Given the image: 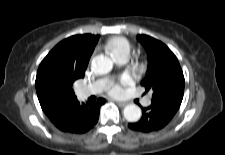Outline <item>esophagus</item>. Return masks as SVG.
I'll return each mask as SVG.
<instances>
[{"mask_svg": "<svg viewBox=\"0 0 225 155\" xmlns=\"http://www.w3.org/2000/svg\"><path fill=\"white\" fill-rule=\"evenodd\" d=\"M120 107H124L126 106V102H122V101H115Z\"/></svg>", "mask_w": 225, "mask_h": 155, "instance_id": "1", "label": "esophagus"}]
</instances>
